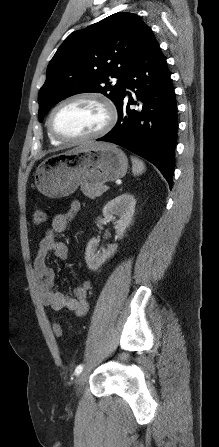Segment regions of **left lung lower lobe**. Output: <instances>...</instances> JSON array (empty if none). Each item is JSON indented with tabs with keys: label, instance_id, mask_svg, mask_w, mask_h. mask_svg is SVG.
<instances>
[{
	"label": "left lung lower lobe",
	"instance_id": "left-lung-lower-lobe-1",
	"mask_svg": "<svg viewBox=\"0 0 219 447\" xmlns=\"http://www.w3.org/2000/svg\"><path fill=\"white\" fill-rule=\"evenodd\" d=\"M166 59L152 35L131 64L116 126L98 141L121 145L154 164L172 187L178 117ZM126 88L134 90L140 109Z\"/></svg>",
	"mask_w": 219,
	"mask_h": 447
}]
</instances>
